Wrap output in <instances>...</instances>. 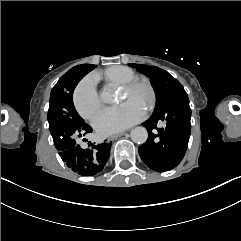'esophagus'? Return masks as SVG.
I'll list each match as a JSON object with an SVG mask.
<instances>
[{
  "mask_svg": "<svg viewBox=\"0 0 241 241\" xmlns=\"http://www.w3.org/2000/svg\"><path fill=\"white\" fill-rule=\"evenodd\" d=\"M123 135H124L123 133H118V134H115V135H112V136L108 137V140L113 141V140H115V139H117V138H119Z\"/></svg>",
  "mask_w": 241,
  "mask_h": 241,
  "instance_id": "1",
  "label": "esophagus"
}]
</instances>
